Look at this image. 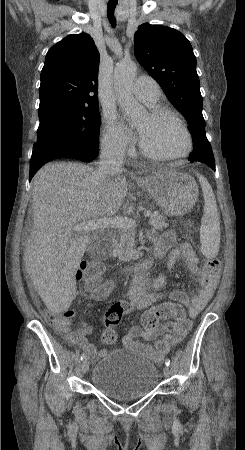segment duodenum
<instances>
[{"label":"duodenum","mask_w":245,"mask_h":450,"mask_svg":"<svg viewBox=\"0 0 245 450\" xmlns=\"http://www.w3.org/2000/svg\"><path fill=\"white\" fill-rule=\"evenodd\" d=\"M108 233H111V231H108ZM115 244H116V240L114 238H110L109 245L113 247ZM153 263H154V261L152 259H148L142 263L135 264L132 268L129 269V271L131 273H137V274L144 273V272L149 271L152 268Z\"/></svg>","instance_id":"duodenum-1"}]
</instances>
